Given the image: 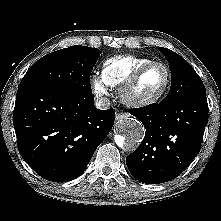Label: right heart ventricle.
<instances>
[{"label":"right heart ventricle","mask_w":221,"mask_h":221,"mask_svg":"<svg viewBox=\"0 0 221 221\" xmlns=\"http://www.w3.org/2000/svg\"><path fill=\"white\" fill-rule=\"evenodd\" d=\"M148 57L123 55L107 59L102 67V79L107 86H121L138 68L152 62Z\"/></svg>","instance_id":"e07e8e85"}]
</instances>
